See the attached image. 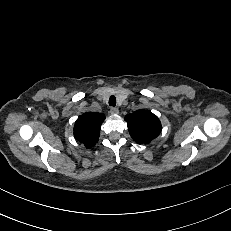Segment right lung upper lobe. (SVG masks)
I'll return each mask as SVG.
<instances>
[{
	"instance_id": "obj_1",
	"label": "right lung upper lobe",
	"mask_w": 231,
	"mask_h": 231,
	"mask_svg": "<svg viewBox=\"0 0 231 231\" xmlns=\"http://www.w3.org/2000/svg\"><path fill=\"white\" fill-rule=\"evenodd\" d=\"M105 117L102 113L87 112L80 116L74 125V137L87 148L96 144Z\"/></svg>"
}]
</instances>
